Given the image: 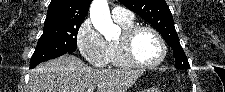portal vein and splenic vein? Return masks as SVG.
Masks as SVG:
<instances>
[{"label": "portal vein and splenic vein", "mask_w": 225, "mask_h": 92, "mask_svg": "<svg viewBox=\"0 0 225 92\" xmlns=\"http://www.w3.org/2000/svg\"><path fill=\"white\" fill-rule=\"evenodd\" d=\"M93 90H94V87L89 88V89L87 90V92H93Z\"/></svg>", "instance_id": "18ae733b"}]
</instances>
